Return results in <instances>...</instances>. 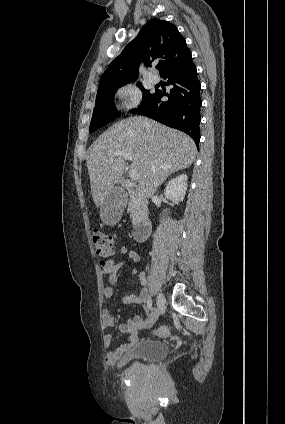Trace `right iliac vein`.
I'll use <instances>...</instances> for the list:
<instances>
[{"label": "right iliac vein", "mask_w": 285, "mask_h": 424, "mask_svg": "<svg viewBox=\"0 0 285 424\" xmlns=\"http://www.w3.org/2000/svg\"><path fill=\"white\" fill-rule=\"evenodd\" d=\"M165 305V297L162 293H159L156 299L157 309L152 312V319L155 322L158 319L159 311L163 309Z\"/></svg>", "instance_id": "right-iliac-vein-1"}]
</instances>
